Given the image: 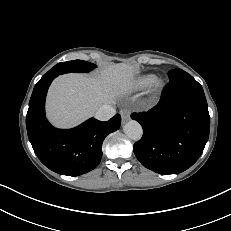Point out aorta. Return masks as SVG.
<instances>
[{"label":"aorta","instance_id":"obj_1","mask_svg":"<svg viewBox=\"0 0 231 231\" xmlns=\"http://www.w3.org/2000/svg\"><path fill=\"white\" fill-rule=\"evenodd\" d=\"M124 133L132 140H139L142 137V126L134 120H130L123 127Z\"/></svg>","mask_w":231,"mask_h":231}]
</instances>
